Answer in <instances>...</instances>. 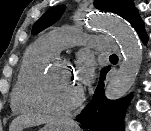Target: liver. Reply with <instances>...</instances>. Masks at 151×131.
<instances>
[{
	"instance_id": "6515ba94",
	"label": "liver",
	"mask_w": 151,
	"mask_h": 131,
	"mask_svg": "<svg viewBox=\"0 0 151 131\" xmlns=\"http://www.w3.org/2000/svg\"><path fill=\"white\" fill-rule=\"evenodd\" d=\"M60 119L41 114H23L16 117L9 126V131H22L25 127L51 124Z\"/></svg>"
}]
</instances>
